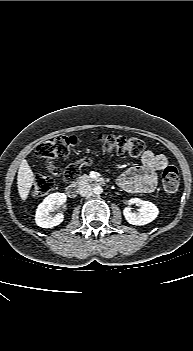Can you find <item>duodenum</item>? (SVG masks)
<instances>
[{
  "mask_svg": "<svg viewBox=\"0 0 193 351\" xmlns=\"http://www.w3.org/2000/svg\"><path fill=\"white\" fill-rule=\"evenodd\" d=\"M86 181H90L92 183H98V184H104L106 182L105 179L97 176L88 178L86 180H82L81 183H85ZM79 187H80V184L78 183L70 184L66 188L67 195L71 198L76 197L79 193Z\"/></svg>",
  "mask_w": 193,
  "mask_h": 351,
  "instance_id": "duodenum-1",
  "label": "duodenum"
}]
</instances>
